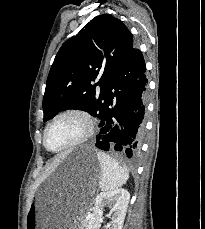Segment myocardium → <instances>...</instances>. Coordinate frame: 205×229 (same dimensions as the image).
<instances>
[{
  "mask_svg": "<svg viewBox=\"0 0 205 229\" xmlns=\"http://www.w3.org/2000/svg\"><path fill=\"white\" fill-rule=\"evenodd\" d=\"M68 116H73L81 120V122L83 123L82 134L77 139H75L74 141L70 142L69 144L61 148L50 149L47 145V140H46L48 130L57 120ZM93 132H94V119L88 111L81 108H67L57 113L46 125L43 132V145L46 148V150L52 153H59L83 144L92 136Z\"/></svg>",
  "mask_w": 205,
  "mask_h": 229,
  "instance_id": "1",
  "label": "myocardium"
}]
</instances>
